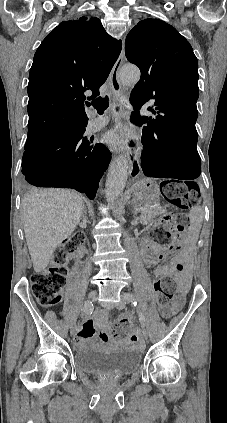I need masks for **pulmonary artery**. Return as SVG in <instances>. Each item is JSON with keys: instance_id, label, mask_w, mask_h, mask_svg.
<instances>
[{"instance_id": "e3ab8cb5", "label": "pulmonary artery", "mask_w": 227, "mask_h": 423, "mask_svg": "<svg viewBox=\"0 0 227 423\" xmlns=\"http://www.w3.org/2000/svg\"><path fill=\"white\" fill-rule=\"evenodd\" d=\"M109 117L104 115L90 120V129L98 130L107 125Z\"/></svg>"}]
</instances>
